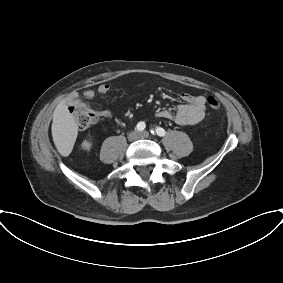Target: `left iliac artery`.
I'll use <instances>...</instances> for the list:
<instances>
[{
	"mask_svg": "<svg viewBox=\"0 0 283 283\" xmlns=\"http://www.w3.org/2000/svg\"><path fill=\"white\" fill-rule=\"evenodd\" d=\"M153 135L157 134L158 136L162 137L165 135V130L161 127H156L155 131L151 130Z\"/></svg>",
	"mask_w": 283,
	"mask_h": 283,
	"instance_id": "1",
	"label": "left iliac artery"
}]
</instances>
